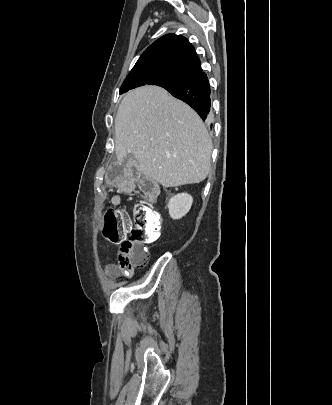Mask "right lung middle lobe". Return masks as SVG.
<instances>
[{
  "instance_id": "dd1d6c3e",
  "label": "right lung middle lobe",
  "mask_w": 332,
  "mask_h": 405,
  "mask_svg": "<svg viewBox=\"0 0 332 405\" xmlns=\"http://www.w3.org/2000/svg\"><path fill=\"white\" fill-rule=\"evenodd\" d=\"M182 78L179 75L169 74L157 70H147L131 72L124 80L121 88L120 94L127 92L130 89L143 85H158L161 87L170 86L181 81Z\"/></svg>"
}]
</instances>
